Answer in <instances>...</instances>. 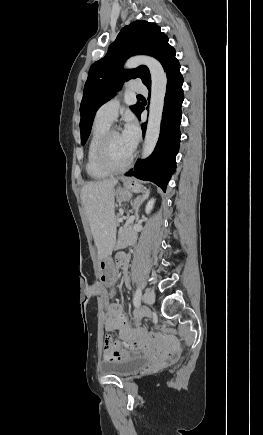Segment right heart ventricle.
<instances>
[{"instance_id": "right-heart-ventricle-1", "label": "right heart ventricle", "mask_w": 263, "mask_h": 435, "mask_svg": "<svg viewBox=\"0 0 263 435\" xmlns=\"http://www.w3.org/2000/svg\"><path fill=\"white\" fill-rule=\"evenodd\" d=\"M110 125V123L98 119H95L92 125L85 162L86 173L91 179L100 180L109 175V173L105 172L97 165L96 150L102 136L110 128Z\"/></svg>"}]
</instances>
